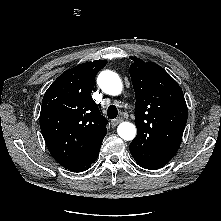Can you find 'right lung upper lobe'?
Segmentation results:
<instances>
[{
  "label": "right lung upper lobe",
  "instance_id": "cb5924a9",
  "mask_svg": "<svg viewBox=\"0 0 221 221\" xmlns=\"http://www.w3.org/2000/svg\"><path fill=\"white\" fill-rule=\"evenodd\" d=\"M107 60L80 64L45 92L40 128L53 158L68 169L93 151L107 133V120L91 97L97 72Z\"/></svg>",
  "mask_w": 221,
  "mask_h": 221
}]
</instances>
